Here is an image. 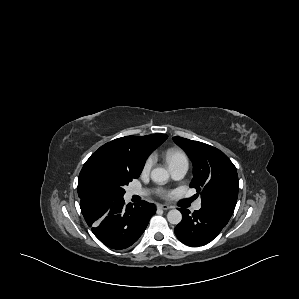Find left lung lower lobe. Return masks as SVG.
Here are the masks:
<instances>
[{
	"label": "left lung lower lobe",
	"instance_id": "1",
	"mask_svg": "<svg viewBox=\"0 0 299 299\" xmlns=\"http://www.w3.org/2000/svg\"><path fill=\"white\" fill-rule=\"evenodd\" d=\"M182 221L175 227L177 238L191 247L203 246L212 241L226 226L228 221L215 213L201 208L190 214L187 209H180Z\"/></svg>",
	"mask_w": 299,
	"mask_h": 299
}]
</instances>
